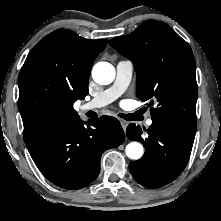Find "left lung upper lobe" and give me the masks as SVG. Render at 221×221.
<instances>
[{"mask_svg": "<svg viewBox=\"0 0 221 221\" xmlns=\"http://www.w3.org/2000/svg\"><path fill=\"white\" fill-rule=\"evenodd\" d=\"M109 44L133 62L137 97L157 104L152 117L196 128V66L186 41L166 23L149 20Z\"/></svg>", "mask_w": 221, "mask_h": 221, "instance_id": "left-lung-upper-lobe-1", "label": "left lung upper lobe"}]
</instances>
